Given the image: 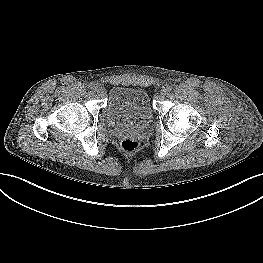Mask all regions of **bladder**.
<instances>
[{
	"label": "bladder",
	"instance_id": "bladder-1",
	"mask_svg": "<svg viewBox=\"0 0 263 263\" xmlns=\"http://www.w3.org/2000/svg\"><path fill=\"white\" fill-rule=\"evenodd\" d=\"M108 119L117 128H143L153 118L148 94L138 88L114 86L106 106Z\"/></svg>",
	"mask_w": 263,
	"mask_h": 263
}]
</instances>
